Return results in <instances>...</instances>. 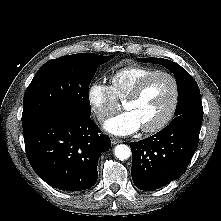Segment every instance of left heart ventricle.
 <instances>
[{
	"label": "left heart ventricle",
	"mask_w": 221,
	"mask_h": 221,
	"mask_svg": "<svg viewBox=\"0 0 221 221\" xmlns=\"http://www.w3.org/2000/svg\"><path fill=\"white\" fill-rule=\"evenodd\" d=\"M173 98L171 81L163 76L153 78L141 96L124 103V109L131 111L139 120L141 127L151 126L167 113Z\"/></svg>",
	"instance_id": "obj_1"
}]
</instances>
